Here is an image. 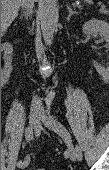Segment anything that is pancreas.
Returning a JSON list of instances; mask_svg holds the SVG:
<instances>
[{"label": "pancreas", "instance_id": "pancreas-1", "mask_svg": "<svg viewBox=\"0 0 109 170\" xmlns=\"http://www.w3.org/2000/svg\"><path fill=\"white\" fill-rule=\"evenodd\" d=\"M100 12L103 13V14H108L109 13V11H108V9L106 7H101Z\"/></svg>", "mask_w": 109, "mask_h": 170}]
</instances>
